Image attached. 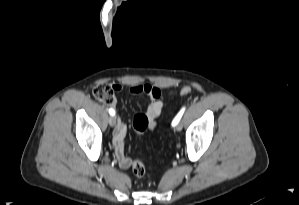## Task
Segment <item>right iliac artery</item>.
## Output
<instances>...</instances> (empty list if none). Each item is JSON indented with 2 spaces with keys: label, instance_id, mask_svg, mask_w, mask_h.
Segmentation results:
<instances>
[{
  "label": "right iliac artery",
  "instance_id": "obj_1",
  "mask_svg": "<svg viewBox=\"0 0 299 205\" xmlns=\"http://www.w3.org/2000/svg\"><path fill=\"white\" fill-rule=\"evenodd\" d=\"M109 113H110V115H115V111H114V109L110 108V109H109Z\"/></svg>",
  "mask_w": 299,
  "mask_h": 205
}]
</instances>
